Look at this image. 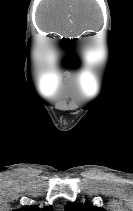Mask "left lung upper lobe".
<instances>
[{
    "label": "left lung upper lobe",
    "mask_w": 133,
    "mask_h": 211,
    "mask_svg": "<svg viewBox=\"0 0 133 211\" xmlns=\"http://www.w3.org/2000/svg\"><path fill=\"white\" fill-rule=\"evenodd\" d=\"M67 211H106L103 208L93 207L90 203L81 205L79 203H68Z\"/></svg>",
    "instance_id": "1"
}]
</instances>
